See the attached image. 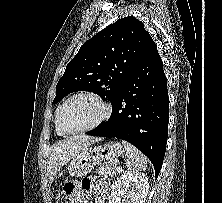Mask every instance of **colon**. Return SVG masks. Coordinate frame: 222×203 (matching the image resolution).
Listing matches in <instances>:
<instances>
[{
	"label": "colon",
	"instance_id": "5ec220e1",
	"mask_svg": "<svg viewBox=\"0 0 222 203\" xmlns=\"http://www.w3.org/2000/svg\"><path fill=\"white\" fill-rule=\"evenodd\" d=\"M74 194V185L72 183H65L61 188L56 191V198L60 203H72Z\"/></svg>",
	"mask_w": 222,
	"mask_h": 203
}]
</instances>
